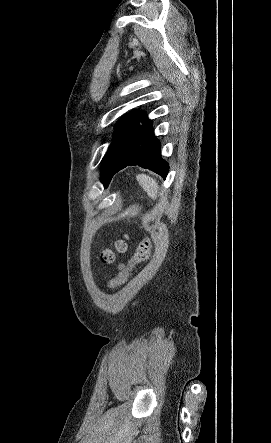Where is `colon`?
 <instances>
[{
  "mask_svg": "<svg viewBox=\"0 0 271 443\" xmlns=\"http://www.w3.org/2000/svg\"><path fill=\"white\" fill-rule=\"evenodd\" d=\"M127 249V242L125 239L117 240L112 248H107L102 251L101 258L104 263H112L115 260L116 253H123ZM152 241L150 238L143 239L136 247L135 253L128 261L127 267L118 273L109 284L108 289L114 290L122 286L128 279V276L136 265L149 259L151 255Z\"/></svg>",
  "mask_w": 271,
  "mask_h": 443,
  "instance_id": "1",
  "label": "colon"
}]
</instances>
